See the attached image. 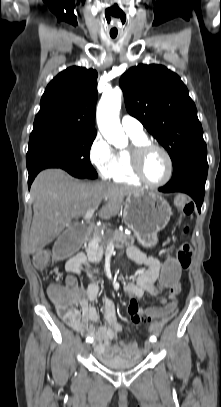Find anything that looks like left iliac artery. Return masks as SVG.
Segmentation results:
<instances>
[{
  "instance_id": "obj_1",
  "label": "left iliac artery",
  "mask_w": 221,
  "mask_h": 407,
  "mask_svg": "<svg viewBox=\"0 0 221 407\" xmlns=\"http://www.w3.org/2000/svg\"><path fill=\"white\" fill-rule=\"evenodd\" d=\"M150 341H151V342H156V337H155V336L151 337V338H150Z\"/></svg>"
}]
</instances>
